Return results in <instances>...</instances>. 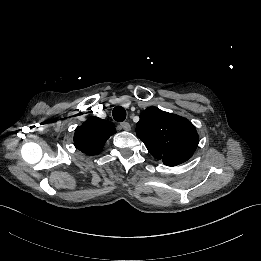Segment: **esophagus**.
<instances>
[{
    "label": "esophagus",
    "mask_w": 261,
    "mask_h": 261,
    "mask_svg": "<svg viewBox=\"0 0 261 261\" xmlns=\"http://www.w3.org/2000/svg\"><path fill=\"white\" fill-rule=\"evenodd\" d=\"M121 127L122 129H124L125 131H130L131 130V125L128 122H123L121 123Z\"/></svg>",
    "instance_id": "34e87169"
}]
</instances>
